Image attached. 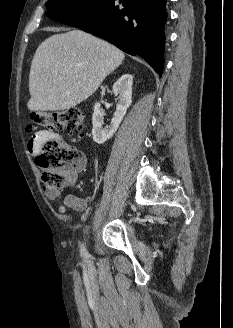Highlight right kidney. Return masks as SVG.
<instances>
[{
  "mask_svg": "<svg viewBox=\"0 0 233 328\" xmlns=\"http://www.w3.org/2000/svg\"><path fill=\"white\" fill-rule=\"evenodd\" d=\"M132 83L133 76L131 74H123L113 85V93L118 96V103L116 105V112L111 121V126L103 128V113L101 111L100 103H96L94 106V113L92 117L93 140L97 144H103L110 139L117 131L121 121L123 120L127 109L132 102Z\"/></svg>",
  "mask_w": 233,
  "mask_h": 328,
  "instance_id": "obj_1",
  "label": "right kidney"
}]
</instances>
